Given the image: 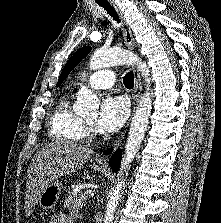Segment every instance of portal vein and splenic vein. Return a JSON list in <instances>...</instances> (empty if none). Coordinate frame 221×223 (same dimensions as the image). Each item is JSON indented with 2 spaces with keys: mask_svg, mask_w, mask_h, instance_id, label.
Here are the masks:
<instances>
[{
  "mask_svg": "<svg viewBox=\"0 0 221 223\" xmlns=\"http://www.w3.org/2000/svg\"><path fill=\"white\" fill-rule=\"evenodd\" d=\"M93 193H94V191L89 190V191L85 192V195H86V196H88V195H93Z\"/></svg>",
  "mask_w": 221,
  "mask_h": 223,
  "instance_id": "obj_1",
  "label": "portal vein and splenic vein"
}]
</instances>
